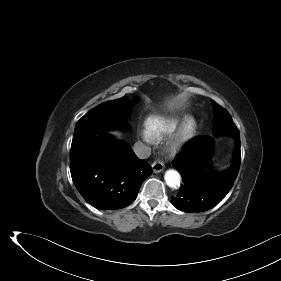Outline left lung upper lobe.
I'll list each match as a JSON object with an SVG mask.
<instances>
[{
	"instance_id": "1",
	"label": "left lung upper lobe",
	"mask_w": 281,
	"mask_h": 281,
	"mask_svg": "<svg viewBox=\"0 0 281 281\" xmlns=\"http://www.w3.org/2000/svg\"><path fill=\"white\" fill-rule=\"evenodd\" d=\"M213 107V132L216 135H234L238 129L230 114L216 102L212 101Z\"/></svg>"
}]
</instances>
